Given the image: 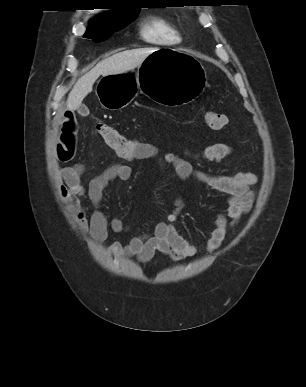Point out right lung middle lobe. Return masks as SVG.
Returning <instances> with one entry per match:
<instances>
[{
  "label": "right lung middle lobe",
  "mask_w": 306,
  "mask_h": 387,
  "mask_svg": "<svg viewBox=\"0 0 306 387\" xmlns=\"http://www.w3.org/2000/svg\"><path fill=\"white\" fill-rule=\"evenodd\" d=\"M139 11V9H133L119 13L116 17L111 18L109 21L103 23L90 22V25L88 26L87 31L83 37L90 38L94 42L104 41L115 31L123 28L126 24L133 21Z\"/></svg>",
  "instance_id": "obj_1"
}]
</instances>
